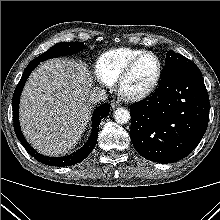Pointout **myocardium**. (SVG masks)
I'll use <instances>...</instances> for the list:
<instances>
[{
    "label": "myocardium",
    "instance_id": "1",
    "mask_svg": "<svg viewBox=\"0 0 220 220\" xmlns=\"http://www.w3.org/2000/svg\"><path fill=\"white\" fill-rule=\"evenodd\" d=\"M147 55L153 56L157 60V64H158L157 73H156L153 81L151 82V84L148 87H146L142 91H139V92L126 91L125 90V83H126L127 79L129 78L132 70L134 69L137 62L141 58H143L144 56H147ZM162 71H163V65H162V61H161L160 57L152 51H143V52L139 53L138 55H136L135 57H133L129 61V63L126 65V67L123 69V71L121 72L120 76L118 77V79L116 81V91H117L118 95L126 101L142 100V99L146 98L147 96H149L156 89V87L160 81Z\"/></svg>",
    "mask_w": 220,
    "mask_h": 220
}]
</instances>
